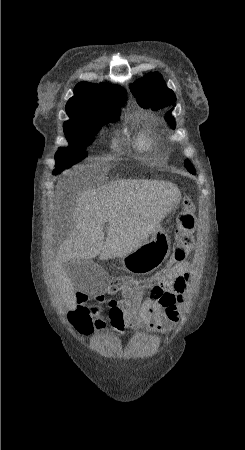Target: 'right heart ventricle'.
<instances>
[{
  "label": "right heart ventricle",
  "instance_id": "1",
  "mask_svg": "<svg viewBox=\"0 0 245 450\" xmlns=\"http://www.w3.org/2000/svg\"><path fill=\"white\" fill-rule=\"evenodd\" d=\"M150 144V140L148 139V137H142L141 139H139L137 145L139 148L145 149L149 146Z\"/></svg>",
  "mask_w": 245,
  "mask_h": 450
}]
</instances>
